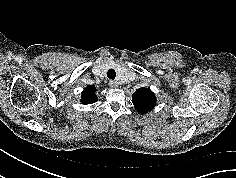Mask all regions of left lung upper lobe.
Returning a JSON list of instances; mask_svg holds the SVG:
<instances>
[{
    "label": "left lung upper lobe",
    "instance_id": "1",
    "mask_svg": "<svg viewBox=\"0 0 236 178\" xmlns=\"http://www.w3.org/2000/svg\"><path fill=\"white\" fill-rule=\"evenodd\" d=\"M132 102L140 114H146L156 105V97L149 88H140L132 95Z\"/></svg>",
    "mask_w": 236,
    "mask_h": 178
}]
</instances>
